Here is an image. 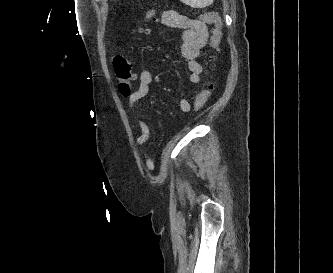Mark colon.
<instances>
[{"label":"colon","instance_id":"1","mask_svg":"<svg viewBox=\"0 0 333 273\" xmlns=\"http://www.w3.org/2000/svg\"><path fill=\"white\" fill-rule=\"evenodd\" d=\"M156 10H149L142 23L136 26V32L139 34L148 32V24L157 20ZM201 19L208 24H213L214 28L210 38L209 46L212 48L217 47L223 34V23L219 15L215 12H207L201 16ZM210 61H213L212 56L209 57ZM113 66L117 79V84L121 95L127 97L130 95L132 82L134 80V74L132 71V62L129 58L124 56H116L113 60ZM213 89L212 82H207L197 93L194 102L193 109L195 111L200 110L207 103L210 94Z\"/></svg>","mask_w":333,"mask_h":273}]
</instances>
